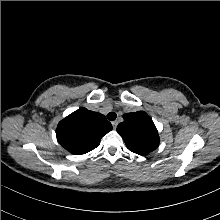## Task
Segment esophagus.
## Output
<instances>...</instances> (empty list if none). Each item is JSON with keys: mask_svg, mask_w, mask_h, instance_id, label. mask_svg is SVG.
Returning <instances> with one entry per match:
<instances>
[{"mask_svg": "<svg viewBox=\"0 0 220 220\" xmlns=\"http://www.w3.org/2000/svg\"><path fill=\"white\" fill-rule=\"evenodd\" d=\"M117 125H118V121H113L112 122V126H113L114 129H116Z\"/></svg>", "mask_w": 220, "mask_h": 220, "instance_id": "esophagus-1", "label": "esophagus"}]
</instances>
